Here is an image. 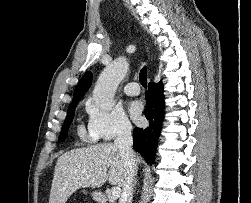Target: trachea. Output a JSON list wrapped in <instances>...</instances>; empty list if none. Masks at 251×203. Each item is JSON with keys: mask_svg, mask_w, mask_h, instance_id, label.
Segmentation results:
<instances>
[{"mask_svg": "<svg viewBox=\"0 0 251 203\" xmlns=\"http://www.w3.org/2000/svg\"><path fill=\"white\" fill-rule=\"evenodd\" d=\"M139 80H140L141 85L144 88H147V68H146V66L141 69Z\"/></svg>", "mask_w": 251, "mask_h": 203, "instance_id": "obj_1", "label": "trachea"}]
</instances>
